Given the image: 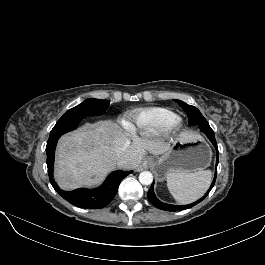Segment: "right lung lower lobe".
Returning <instances> with one entry per match:
<instances>
[{"label":"right lung lower lobe","instance_id":"right-lung-lower-lobe-1","mask_svg":"<svg viewBox=\"0 0 265 265\" xmlns=\"http://www.w3.org/2000/svg\"><path fill=\"white\" fill-rule=\"evenodd\" d=\"M82 119L81 117H74L57 122L51 130L46 146L48 175L53 188L62 198L80 208L99 209L105 207L112 201L117 193L120 182L124 177L132 173V171H114L96 189L65 191L60 189L53 179L54 152L57 141L63 134L76 129Z\"/></svg>","mask_w":265,"mask_h":265}]
</instances>
